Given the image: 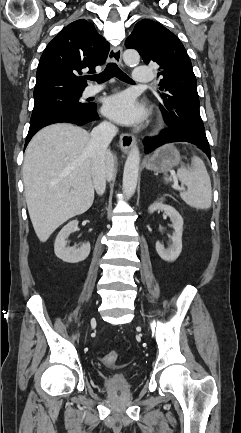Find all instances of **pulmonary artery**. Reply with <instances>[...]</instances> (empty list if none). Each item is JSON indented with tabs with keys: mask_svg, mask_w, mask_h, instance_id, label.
Here are the masks:
<instances>
[{
	"mask_svg": "<svg viewBox=\"0 0 241 433\" xmlns=\"http://www.w3.org/2000/svg\"><path fill=\"white\" fill-rule=\"evenodd\" d=\"M152 80V72L146 66H136L133 71V82L136 84L149 83ZM103 86H90L87 87L83 93L85 97L92 96L99 92Z\"/></svg>",
	"mask_w": 241,
	"mask_h": 433,
	"instance_id": "1",
	"label": "pulmonary artery"
}]
</instances>
